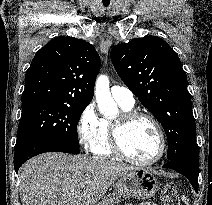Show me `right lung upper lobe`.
<instances>
[{"label": "right lung upper lobe", "instance_id": "obj_1", "mask_svg": "<svg viewBox=\"0 0 212 205\" xmlns=\"http://www.w3.org/2000/svg\"><path fill=\"white\" fill-rule=\"evenodd\" d=\"M100 69L93 45L62 36L38 50L26 71L22 102L50 100L89 105Z\"/></svg>", "mask_w": 212, "mask_h": 205}]
</instances>
